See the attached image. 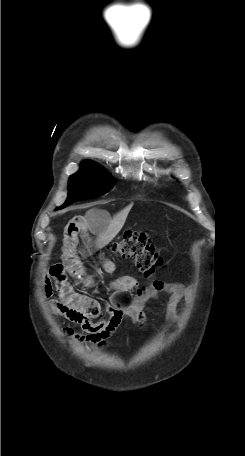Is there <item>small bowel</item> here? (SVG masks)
Wrapping results in <instances>:
<instances>
[{
	"label": "small bowel",
	"instance_id": "small-bowel-1",
	"mask_svg": "<svg viewBox=\"0 0 245 456\" xmlns=\"http://www.w3.org/2000/svg\"><path fill=\"white\" fill-rule=\"evenodd\" d=\"M104 219L105 214L102 211H93L87 216H77L69 221L64 236V263L51 267L50 277L44 285L46 296L52 294L53 284L60 294L59 299L49 301L50 312L79 324L83 330V333H75L67 328L65 332L81 343L100 348L106 345V340L116 331L124 317L142 325L146 318L145 306L158 298L161 292V288L140 287L137 280L128 275L120 276L109 284L112 294L105 305L73 290L67 281V272H70L78 283L87 287L95 286L93 278L79 265L75 248L78 235L87 236L89 231H99ZM102 267L109 274L116 271V264L109 259H102ZM164 291L170 294L168 316L175 320L178 302L184 299L191 303L196 289L194 286L169 284Z\"/></svg>",
	"mask_w": 245,
	"mask_h": 456
}]
</instances>
